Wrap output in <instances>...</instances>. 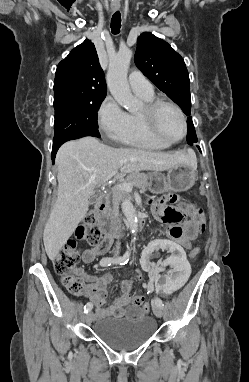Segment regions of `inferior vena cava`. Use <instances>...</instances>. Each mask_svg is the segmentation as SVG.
I'll list each match as a JSON object with an SVG mask.
<instances>
[{
  "label": "inferior vena cava",
  "mask_w": 249,
  "mask_h": 382,
  "mask_svg": "<svg viewBox=\"0 0 249 382\" xmlns=\"http://www.w3.org/2000/svg\"><path fill=\"white\" fill-rule=\"evenodd\" d=\"M119 249H120V246L118 245V246L116 247L115 255H118V254H119Z\"/></svg>",
  "instance_id": "obj_1"
}]
</instances>
